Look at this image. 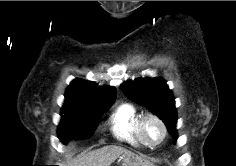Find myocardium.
Masks as SVG:
<instances>
[{
	"label": "myocardium",
	"instance_id": "myocardium-1",
	"mask_svg": "<svg viewBox=\"0 0 236 166\" xmlns=\"http://www.w3.org/2000/svg\"><path fill=\"white\" fill-rule=\"evenodd\" d=\"M148 120L156 121L161 127L162 136L157 142L149 141L146 134H145V125ZM138 131H139V136L142 139L143 143L148 147H156V146L160 145L165 140V138L167 136V126H166L165 122L163 121V119L160 116H158L155 113H145L142 115V117L139 121Z\"/></svg>",
	"mask_w": 236,
	"mask_h": 166
}]
</instances>
